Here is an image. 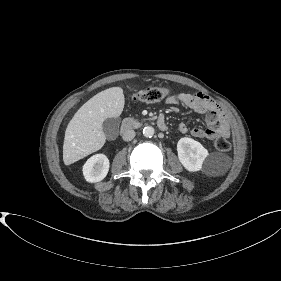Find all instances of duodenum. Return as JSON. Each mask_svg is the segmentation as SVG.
<instances>
[{
	"label": "duodenum",
	"instance_id": "obj_1",
	"mask_svg": "<svg viewBox=\"0 0 281 281\" xmlns=\"http://www.w3.org/2000/svg\"><path fill=\"white\" fill-rule=\"evenodd\" d=\"M133 125H134L133 122H130V121L124 122L121 127V132L124 133V132L128 131ZM156 125L161 131H166L168 128L164 118H162V117H159L157 119Z\"/></svg>",
	"mask_w": 281,
	"mask_h": 281
}]
</instances>
